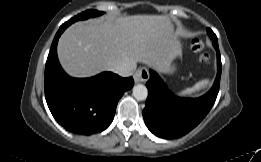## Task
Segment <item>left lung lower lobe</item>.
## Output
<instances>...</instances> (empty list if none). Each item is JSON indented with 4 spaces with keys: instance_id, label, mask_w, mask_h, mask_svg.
<instances>
[{
    "instance_id": "1",
    "label": "left lung lower lobe",
    "mask_w": 261,
    "mask_h": 162,
    "mask_svg": "<svg viewBox=\"0 0 261 162\" xmlns=\"http://www.w3.org/2000/svg\"><path fill=\"white\" fill-rule=\"evenodd\" d=\"M213 46L217 52V76L212 88L199 98H180L173 95L159 75L150 70L143 117L148 129L155 136L164 139L180 138L195 128L211 110L219 92L222 69L218 43L213 42Z\"/></svg>"
}]
</instances>
